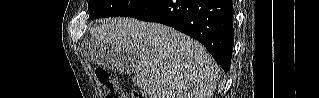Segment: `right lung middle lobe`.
Returning <instances> with one entry per match:
<instances>
[{"label": "right lung middle lobe", "instance_id": "obj_1", "mask_svg": "<svg viewBox=\"0 0 319 98\" xmlns=\"http://www.w3.org/2000/svg\"><path fill=\"white\" fill-rule=\"evenodd\" d=\"M146 0H89L88 10L91 20L115 17L142 4Z\"/></svg>", "mask_w": 319, "mask_h": 98}]
</instances>
